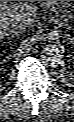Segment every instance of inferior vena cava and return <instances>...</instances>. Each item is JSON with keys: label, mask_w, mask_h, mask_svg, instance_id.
Returning <instances> with one entry per match:
<instances>
[{"label": "inferior vena cava", "mask_w": 74, "mask_h": 122, "mask_svg": "<svg viewBox=\"0 0 74 122\" xmlns=\"http://www.w3.org/2000/svg\"><path fill=\"white\" fill-rule=\"evenodd\" d=\"M11 26L23 33L29 26L28 19L23 15H15L10 19Z\"/></svg>", "instance_id": "1"}]
</instances>
